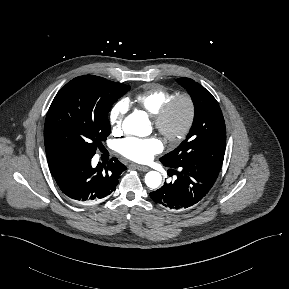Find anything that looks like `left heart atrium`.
Listing matches in <instances>:
<instances>
[{"label": "left heart atrium", "instance_id": "obj_1", "mask_svg": "<svg viewBox=\"0 0 289 289\" xmlns=\"http://www.w3.org/2000/svg\"><path fill=\"white\" fill-rule=\"evenodd\" d=\"M118 151L125 158L137 163H149L162 152L163 144L156 137H126L118 141Z\"/></svg>", "mask_w": 289, "mask_h": 289}]
</instances>
